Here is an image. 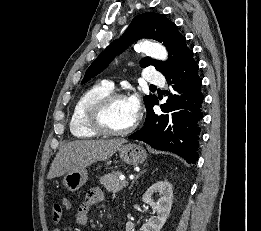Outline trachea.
<instances>
[{
  "label": "trachea",
  "mask_w": 261,
  "mask_h": 231,
  "mask_svg": "<svg viewBox=\"0 0 261 231\" xmlns=\"http://www.w3.org/2000/svg\"><path fill=\"white\" fill-rule=\"evenodd\" d=\"M150 87H156V86H154V85H150Z\"/></svg>",
  "instance_id": "trachea-1"
}]
</instances>
